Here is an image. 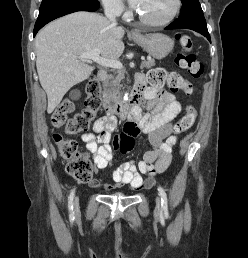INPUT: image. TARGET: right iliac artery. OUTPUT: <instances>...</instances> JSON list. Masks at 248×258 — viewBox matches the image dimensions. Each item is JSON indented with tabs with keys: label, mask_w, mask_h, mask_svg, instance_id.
<instances>
[{
	"label": "right iliac artery",
	"mask_w": 248,
	"mask_h": 258,
	"mask_svg": "<svg viewBox=\"0 0 248 258\" xmlns=\"http://www.w3.org/2000/svg\"><path fill=\"white\" fill-rule=\"evenodd\" d=\"M74 193H75V189L71 191L69 199H68V206H69L71 219H74V211H73V209H74V207H73Z\"/></svg>",
	"instance_id": "82829eb1"
}]
</instances>
